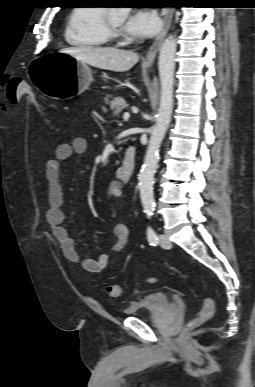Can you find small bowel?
<instances>
[{"instance_id":"c3829d8e","label":"small bowel","mask_w":255,"mask_h":387,"mask_svg":"<svg viewBox=\"0 0 255 387\" xmlns=\"http://www.w3.org/2000/svg\"><path fill=\"white\" fill-rule=\"evenodd\" d=\"M86 150V139L76 137L70 143L59 144L55 149L54 157L47 162L45 178L48 184L49 208L46 212V219L52 228L53 235L60 244L64 256L71 262L79 263L88 272L100 273L108 267L111 255L103 253L95 259L81 258L76 250L75 240L65 225V213L63 210L62 164L73 155L83 154ZM107 193L110 198L118 199L123 196V188L119 183L115 182L108 187ZM113 232L115 240L111 250L113 253H119L128 243L129 229L125 224L119 223L114 226Z\"/></svg>"}]
</instances>
